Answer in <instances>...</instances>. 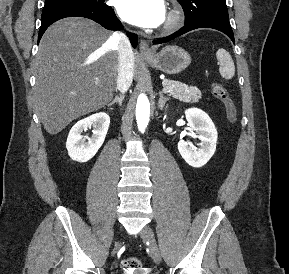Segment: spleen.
I'll return each instance as SVG.
<instances>
[{
	"label": "spleen",
	"mask_w": 289,
	"mask_h": 274,
	"mask_svg": "<svg viewBox=\"0 0 289 274\" xmlns=\"http://www.w3.org/2000/svg\"><path fill=\"white\" fill-rule=\"evenodd\" d=\"M216 57L219 61L220 75L225 79H231L235 74V65L231 55L223 48L218 49Z\"/></svg>",
	"instance_id": "1"
}]
</instances>
